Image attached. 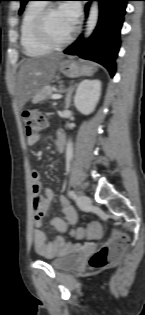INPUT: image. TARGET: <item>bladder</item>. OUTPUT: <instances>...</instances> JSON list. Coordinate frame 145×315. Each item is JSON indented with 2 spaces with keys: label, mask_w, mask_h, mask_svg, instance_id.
<instances>
[{
  "label": "bladder",
  "mask_w": 145,
  "mask_h": 315,
  "mask_svg": "<svg viewBox=\"0 0 145 315\" xmlns=\"http://www.w3.org/2000/svg\"><path fill=\"white\" fill-rule=\"evenodd\" d=\"M47 262L58 271H66L78 265L79 257L74 256V253H71L58 258L47 259Z\"/></svg>",
  "instance_id": "bladder-1"
}]
</instances>
